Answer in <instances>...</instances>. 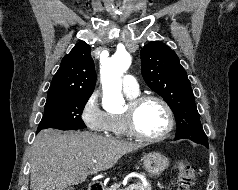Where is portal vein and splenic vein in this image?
<instances>
[{
	"label": "portal vein and splenic vein",
	"instance_id": "18ae733b",
	"mask_svg": "<svg viewBox=\"0 0 238 190\" xmlns=\"http://www.w3.org/2000/svg\"><path fill=\"white\" fill-rule=\"evenodd\" d=\"M135 185H129L127 188H125L124 190H134Z\"/></svg>",
	"mask_w": 238,
	"mask_h": 190
}]
</instances>
